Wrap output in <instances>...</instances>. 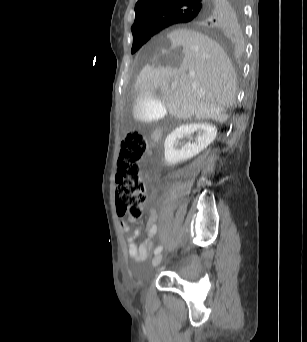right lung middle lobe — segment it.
<instances>
[{"instance_id": "dd1d6c3e", "label": "right lung middle lobe", "mask_w": 307, "mask_h": 342, "mask_svg": "<svg viewBox=\"0 0 307 342\" xmlns=\"http://www.w3.org/2000/svg\"><path fill=\"white\" fill-rule=\"evenodd\" d=\"M196 14L194 10H184L171 15L168 19L169 23H179L191 19ZM160 30L145 31L133 35V45L131 53L138 51L153 35L158 33Z\"/></svg>"}]
</instances>
